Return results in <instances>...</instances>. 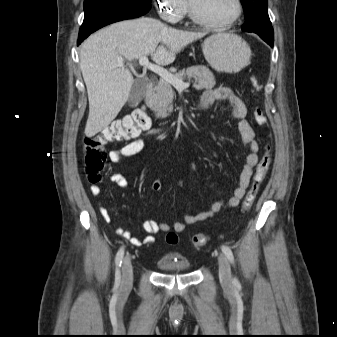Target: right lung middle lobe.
I'll return each instance as SVG.
<instances>
[{"label":"right lung middle lobe","instance_id":"right-lung-middle-lobe-1","mask_svg":"<svg viewBox=\"0 0 337 337\" xmlns=\"http://www.w3.org/2000/svg\"><path fill=\"white\" fill-rule=\"evenodd\" d=\"M101 1H106V0H85L84 1V10H86L89 6L101 2ZM118 1H123L135 5H140V6H147L150 5L151 0H118Z\"/></svg>","mask_w":337,"mask_h":337}]
</instances>
